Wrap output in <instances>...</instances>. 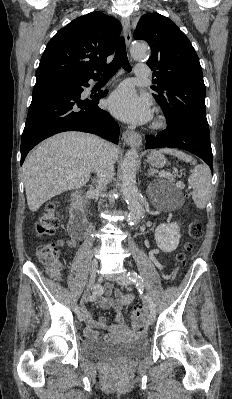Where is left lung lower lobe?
<instances>
[{"label":"left lung lower lobe","instance_id":"left-lung-lower-lobe-1","mask_svg":"<svg viewBox=\"0 0 232 399\" xmlns=\"http://www.w3.org/2000/svg\"><path fill=\"white\" fill-rule=\"evenodd\" d=\"M179 148L187 150L203 159L213 171V155L210 136L182 123H170L157 135H146V149Z\"/></svg>","mask_w":232,"mask_h":399}]
</instances>
